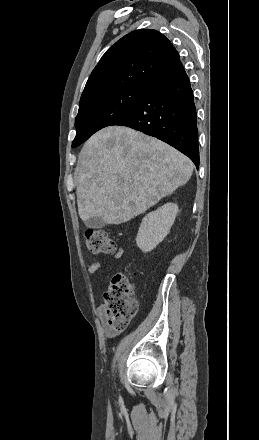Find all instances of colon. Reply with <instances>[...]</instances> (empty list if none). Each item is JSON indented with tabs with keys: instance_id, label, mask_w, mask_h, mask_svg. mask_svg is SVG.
I'll return each mask as SVG.
<instances>
[{
	"instance_id": "1",
	"label": "colon",
	"mask_w": 259,
	"mask_h": 440,
	"mask_svg": "<svg viewBox=\"0 0 259 440\" xmlns=\"http://www.w3.org/2000/svg\"><path fill=\"white\" fill-rule=\"evenodd\" d=\"M86 247L93 254H111L116 244L104 230L91 229L86 232ZM132 283L123 274H115L109 289L104 294V311L107 323L115 329L127 327L137 312L133 298Z\"/></svg>"
}]
</instances>
